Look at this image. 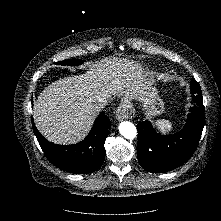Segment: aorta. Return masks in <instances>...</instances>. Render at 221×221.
<instances>
[{
  "label": "aorta",
  "mask_w": 221,
  "mask_h": 221,
  "mask_svg": "<svg viewBox=\"0 0 221 221\" xmlns=\"http://www.w3.org/2000/svg\"><path fill=\"white\" fill-rule=\"evenodd\" d=\"M119 132L126 139H134L137 135L135 125L129 121H123L119 124Z\"/></svg>",
  "instance_id": "obj_1"
}]
</instances>
